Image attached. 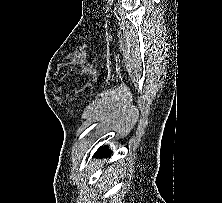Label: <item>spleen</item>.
<instances>
[{
    "label": "spleen",
    "mask_w": 222,
    "mask_h": 203,
    "mask_svg": "<svg viewBox=\"0 0 222 203\" xmlns=\"http://www.w3.org/2000/svg\"><path fill=\"white\" fill-rule=\"evenodd\" d=\"M103 176H105V177L108 178V179H112V180H113V178H115V176H117V173L114 172V171H113V167L110 166V167H108V168L105 170Z\"/></svg>",
    "instance_id": "spleen-1"
}]
</instances>
